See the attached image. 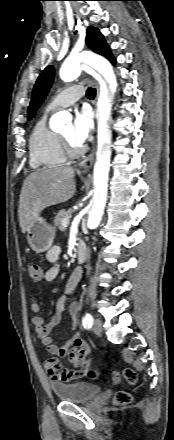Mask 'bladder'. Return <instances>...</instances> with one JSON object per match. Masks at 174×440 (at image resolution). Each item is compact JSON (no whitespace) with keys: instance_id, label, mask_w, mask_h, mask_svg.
I'll use <instances>...</instances> for the list:
<instances>
[{"instance_id":"31cf9c89","label":"bladder","mask_w":174,"mask_h":440,"mask_svg":"<svg viewBox=\"0 0 174 440\" xmlns=\"http://www.w3.org/2000/svg\"><path fill=\"white\" fill-rule=\"evenodd\" d=\"M50 387L59 400L74 403L89 402L101 391L90 382L51 383Z\"/></svg>"}]
</instances>
